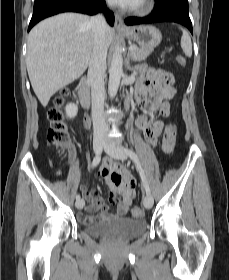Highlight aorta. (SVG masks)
I'll use <instances>...</instances> for the list:
<instances>
[{"instance_id": "aorta-1", "label": "aorta", "mask_w": 229, "mask_h": 280, "mask_svg": "<svg viewBox=\"0 0 229 280\" xmlns=\"http://www.w3.org/2000/svg\"><path fill=\"white\" fill-rule=\"evenodd\" d=\"M123 74V57L121 48L117 47L113 54L111 66L109 68V83L108 92L111 98H113L119 88L120 79Z\"/></svg>"}]
</instances>
